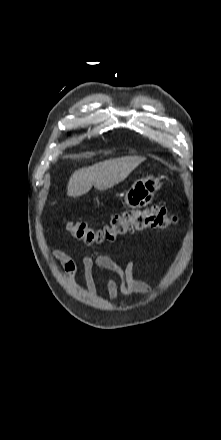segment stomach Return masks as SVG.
<instances>
[{
  "label": "stomach",
  "mask_w": 221,
  "mask_h": 440,
  "mask_svg": "<svg viewBox=\"0 0 221 440\" xmlns=\"http://www.w3.org/2000/svg\"><path fill=\"white\" fill-rule=\"evenodd\" d=\"M159 178L149 175L137 179L125 194V203L132 208L145 207L153 200L154 194L160 189Z\"/></svg>",
  "instance_id": "obj_1"
}]
</instances>
